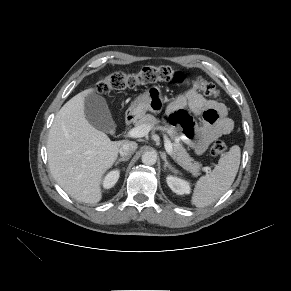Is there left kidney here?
Here are the masks:
<instances>
[{
    "label": "left kidney",
    "mask_w": 291,
    "mask_h": 291,
    "mask_svg": "<svg viewBox=\"0 0 291 291\" xmlns=\"http://www.w3.org/2000/svg\"><path fill=\"white\" fill-rule=\"evenodd\" d=\"M166 179L168 186L174 193L179 195L190 193L191 188L187 181H184L172 175H169Z\"/></svg>",
    "instance_id": "left-kidney-1"
}]
</instances>
